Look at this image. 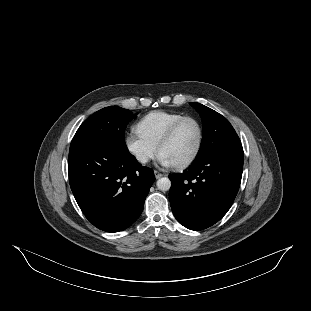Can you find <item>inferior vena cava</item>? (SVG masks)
Masks as SVG:
<instances>
[{
    "instance_id": "obj_1",
    "label": "inferior vena cava",
    "mask_w": 311,
    "mask_h": 311,
    "mask_svg": "<svg viewBox=\"0 0 311 311\" xmlns=\"http://www.w3.org/2000/svg\"><path fill=\"white\" fill-rule=\"evenodd\" d=\"M138 161H140L141 163H146L148 162V157L145 155H139L137 156Z\"/></svg>"
}]
</instances>
